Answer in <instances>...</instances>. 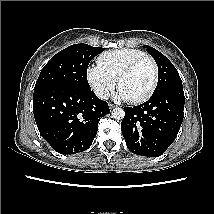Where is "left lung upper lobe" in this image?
Masks as SVG:
<instances>
[{"instance_id":"5c2ea615","label":"left lung upper lobe","mask_w":214,"mask_h":214,"mask_svg":"<svg viewBox=\"0 0 214 214\" xmlns=\"http://www.w3.org/2000/svg\"><path fill=\"white\" fill-rule=\"evenodd\" d=\"M146 50L152 55L158 66V84L153 95L170 87L182 86L181 78L169 59L153 47L146 46Z\"/></svg>"}]
</instances>
